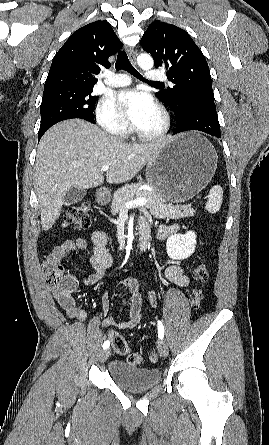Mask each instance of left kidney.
I'll use <instances>...</instances> for the list:
<instances>
[{
  "label": "left kidney",
  "instance_id": "obj_1",
  "mask_svg": "<svg viewBox=\"0 0 269 445\" xmlns=\"http://www.w3.org/2000/svg\"><path fill=\"white\" fill-rule=\"evenodd\" d=\"M196 247V235L193 231L186 234H174L168 237L166 242L167 254L171 259H186L194 253Z\"/></svg>",
  "mask_w": 269,
  "mask_h": 445
}]
</instances>
